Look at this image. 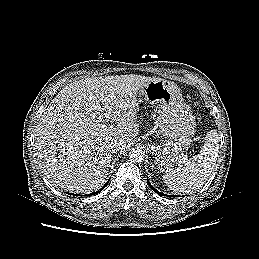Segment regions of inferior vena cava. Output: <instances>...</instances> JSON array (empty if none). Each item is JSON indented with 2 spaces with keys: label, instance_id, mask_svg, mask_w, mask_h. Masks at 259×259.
Returning a JSON list of instances; mask_svg holds the SVG:
<instances>
[{
  "label": "inferior vena cava",
  "instance_id": "602c4592",
  "mask_svg": "<svg viewBox=\"0 0 259 259\" xmlns=\"http://www.w3.org/2000/svg\"><path fill=\"white\" fill-rule=\"evenodd\" d=\"M122 144L120 142L114 141L110 145V151L116 153L121 149Z\"/></svg>",
  "mask_w": 259,
  "mask_h": 259
}]
</instances>
